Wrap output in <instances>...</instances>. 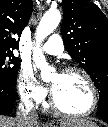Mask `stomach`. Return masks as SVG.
<instances>
[{
	"mask_svg": "<svg viewBox=\"0 0 108 127\" xmlns=\"http://www.w3.org/2000/svg\"><path fill=\"white\" fill-rule=\"evenodd\" d=\"M48 127H52L51 125H49ZM56 127V126H54ZM66 127H98L96 124L94 126H90V125H87V126H77V125H71V126H66Z\"/></svg>",
	"mask_w": 108,
	"mask_h": 127,
	"instance_id": "1",
	"label": "stomach"
}]
</instances>
